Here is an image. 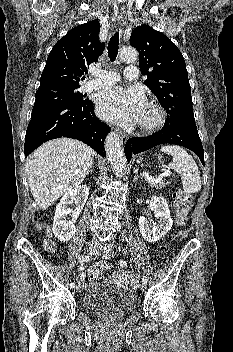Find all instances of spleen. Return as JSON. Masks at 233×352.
<instances>
[{
	"instance_id": "1",
	"label": "spleen",
	"mask_w": 233,
	"mask_h": 352,
	"mask_svg": "<svg viewBox=\"0 0 233 352\" xmlns=\"http://www.w3.org/2000/svg\"><path fill=\"white\" fill-rule=\"evenodd\" d=\"M161 151L173 156L168 168L181 174L184 191L186 193H197L201 189V177L192 156L177 145L163 146Z\"/></svg>"
}]
</instances>
